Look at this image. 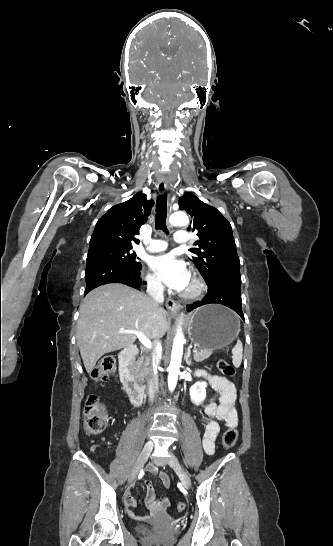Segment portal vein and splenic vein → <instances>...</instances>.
<instances>
[{
  "instance_id": "portal-vein-and-splenic-vein-1",
  "label": "portal vein and splenic vein",
  "mask_w": 333,
  "mask_h": 546,
  "mask_svg": "<svg viewBox=\"0 0 333 546\" xmlns=\"http://www.w3.org/2000/svg\"><path fill=\"white\" fill-rule=\"evenodd\" d=\"M121 332L126 334H135L145 348L152 349L151 341L143 333L134 330H122ZM193 352L197 353L198 350L193 349Z\"/></svg>"
}]
</instances>
